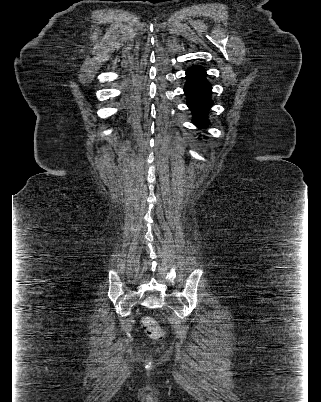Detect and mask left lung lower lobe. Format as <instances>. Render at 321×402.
I'll use <instances>...</instances> for the list:
<instances>
[{
	"mask_svg": "<svg viewBox=\"0 0 321 402\" xmlns=\"http://www.w3.org/2000/svg\"><path fill=\"white\" fill-rule=\"evenodd\" d=\"M187 82L184 92L187 105L193 112V123L199 128L209 125L207 113L213 105L211 99V84L206 79V71L202 66H192L186 71Z\"/></svg>",
	"mask_w": 321,
	"mask_h": 402,
	"instance_id": "1",
	"label": "left lung lower lobe"
}]
</instances>
